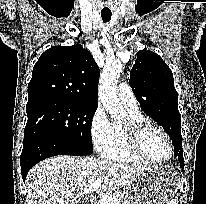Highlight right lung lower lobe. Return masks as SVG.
<instances>
[{
  "label": "right lung lower lobe",
  "mask_w": 206,
  "mask_h": 204,
  "mask_svg": "<svg viewBox=\"0 0 206 204\" xmlns=\"http://www.w3.org/2000/svg\"><path fill=\"white\" fill-rule=\"evenodd\" d=\"M56 155L84 156L80 150L61 140L35 138L23 144L21 153V174L23 181L30 168L38 162Z\"/></svg>",
  "instance_id": "98d812e1"
}]
</instances>
